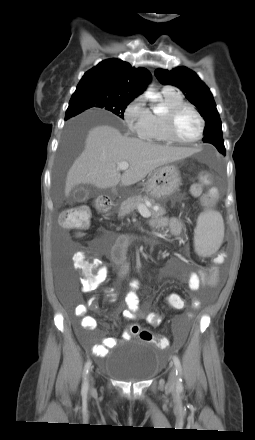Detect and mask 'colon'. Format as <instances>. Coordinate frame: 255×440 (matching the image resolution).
<instances>
[{"label":"colon","mask_w":255,"mask_h":440,"mask_svg":"<svg viewBox=\"0 0 255 440\" xmlns=\"http://www.w3.org/2000/svg\"><path fill=\"white\" fill-rule=\"evenodd\" d=\"M209 181V174L203 172L200 177V182L195 184L192 188L193 194L196 196L201 195L204 186L207 185ZM213 199V194L206 197L208 203H212ZM91 218L92 215L90 208L87 205H79L64 210L59 217V222L64 228L82 231L88 228ZM74 267L82 273L81 287H84L87 290L93 289L96 284L100 267L97 266L84 251L75 254ZM164 303L168 306L170 311H185L186 309L185 298H166ZM130 332L138 336L140 340L152 343L154 346H160L161 348H168L170 346V341L166 338L165 334L156 335L152 331L142 328L137 324L131 325Z\"/></svg>","instance_id":"1"}]
</instances>
